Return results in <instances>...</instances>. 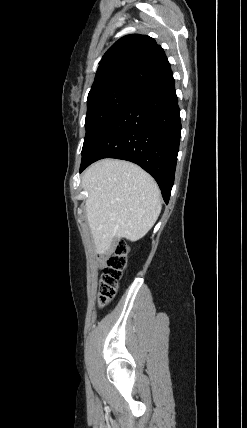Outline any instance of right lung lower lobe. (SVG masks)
<instances>
[{
	"label": "right lung lower lobe",
	"instance_id": "1",
	"mask_svg": "<svg viewBox=\"0 0 247 428\" xmlns=\"http://www.w3.org/2000/svg\"><path fill=\"white\" fill-rule=\"evenodd\" d=\"M172 71L141 91L102 129L82 155L80 172L102 158L128 160L157 181L168 203L181 121Z\"/></svg>",
	"mask_w": 247,
	"mask_h": 428
}]
</instances>
